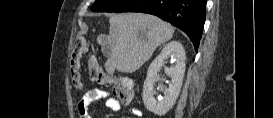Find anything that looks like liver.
Listing matches in <instances>:
<instances>
[{
    "instance_id": "1",
    "label": "liver",
    "mask_w": 273,
    "mask_h": 118,
    "mask_svg": "<svg viewBox=\"0 0 273 118\" xmlns=\"http://www.w3.org/2000/svg\"><path fill=\"white\" fill-rule=\"evenodd\" d=\"M109 23L106 44L110 45L111 54L104 67L110 75L115 70L125 73L138 70L174 33L170 24L143 13L113 14Z\"/></svg>"
}]
</instances>
